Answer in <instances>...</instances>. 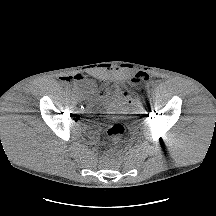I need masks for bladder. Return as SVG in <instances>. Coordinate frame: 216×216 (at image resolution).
<instances>
[{
	"instance_id": "bladder-1",
	"label": "bladder",
	"mask_w": 216,
	"mask_h": 216,
	"mask_svg": "<svg viewBox=\"0 0 216 216\" xmlns=\"http://www.w3.org/2000/svg\"><path fill=\"white\" fill-rule=\"evenodd\" d=\"M88 110L93 118L99 122H109L113 119L125 121L133 113V106L125 95L116 91H109L104 95L93 97L92 92L84 95Z\"/></svg>"
}]
</instances>
